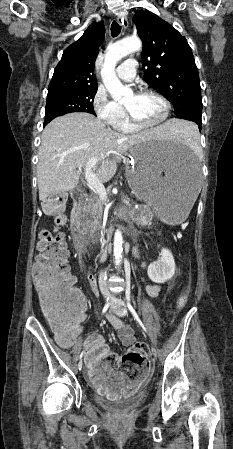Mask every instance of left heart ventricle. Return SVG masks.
Instances as JSON below:
<instances>
[{"instance_id":"left-heart-ventricle-1","label":"left heart ventricle","mask_w":233,"mask_h":449,"mask_svg":"<svg viewBox=\"0 0 233 449\" xmlns=\"http://www.w3.org/2000/svg\"><path fill=\"white\" fill-rule=\"evenodd\" d=\"M133 115L141 122L152 123L159 120L164 111L163 104L154 96L131 94L125 101Z\"/></svg>"}]
</instances>
